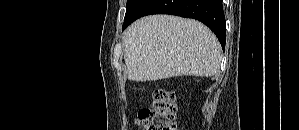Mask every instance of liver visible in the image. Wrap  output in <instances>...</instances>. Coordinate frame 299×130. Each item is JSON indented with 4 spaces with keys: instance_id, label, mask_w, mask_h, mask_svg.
I'll return each instance as SVG.
<instances>
[{
    "instance_id": "liver-1",
    "label": "liver",
    "mask_w": 299,
    "mask_h": 130,
    "mask_svg": "<svg viewBox=\"0 0 299 130\" xmlns=\"http://www.w3.org/2000/svg\"><path fill=\"white\" fill-rule=\"evenodd\" d=\"M130 80L155 81L175 76H214L221 46L201 22L170 15H150L133 22L123 35Z\"/></svg>"
}]
</instances>
